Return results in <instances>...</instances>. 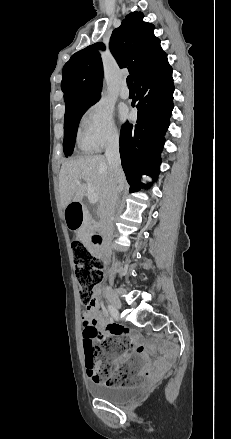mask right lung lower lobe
<instances>
[{
	"mask_svg": "<svg viewBox=\"0 0 231 439\" xmlns=\"http://www.w3.org/2000/svg\"><path fill=\"white\" fill-rule=\"evenodd\" d=\"M134 84L136 97L132 106L138 109L137 123H125L119 141L121 163L131 192L143 187L142 175L155 180L159 173L164 134L174 107L172 68L167 56Z\"/></svg>",
	"mask_w": 231,
	"mask_h": 439,
	"instance_id": "obj_1",
	"label": "right lung lower lobe"
}]
</instances>
